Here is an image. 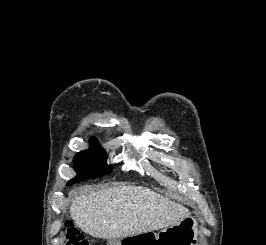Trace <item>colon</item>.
I'll return each mask as SVG.
<instances>
[{"label": "colon", "mask_w": 266, "mask_h": 245, "mask_svg": "<svg viewBox=\"0 0 266 245\" xmlns=\"http://www.w3.org/2000/svg\"><path fill=\"white\" fill-rule=\"evenodd\" d=\"M66 245H89V242L71 222L65 223Z\"/></svg>", "instance_id": "5ec220e1"}]
</instances>
